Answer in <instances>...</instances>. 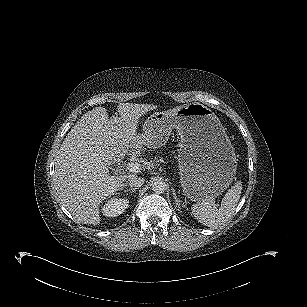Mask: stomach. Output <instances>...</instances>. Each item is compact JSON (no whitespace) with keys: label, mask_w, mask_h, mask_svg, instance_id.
I'll list each match as a JSON object with an SVG mask.
<instances>
[{"label":"stomach","mask_w":307,"mask_h":307,"mask_svg":"<svg viewBox=\"0 0 307 307\" xmlns=\"http://www.w3.org/2000/svg\"><path fill=\"white\" fill-rule=\"evenodd\" d=\"M180 136V183L193 201L219 196L232 182L236 156L218 117L203 104L192 102L155 112L144 124L148 147H160L172 129Z\"/></svg>","instance_id":"stomach-1"}]
</instances>
